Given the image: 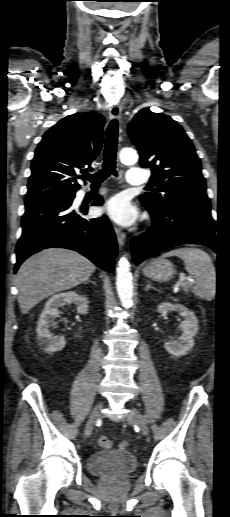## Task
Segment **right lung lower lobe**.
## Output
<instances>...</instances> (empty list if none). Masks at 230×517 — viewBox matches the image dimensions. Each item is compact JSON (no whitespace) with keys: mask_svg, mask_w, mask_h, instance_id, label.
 Wrapping results in <instances>:
<instances>
[{"mask_svg":"<svg viewBox=\"0 0 230 517\" xmlns=\"http://www.w3.org/2000/svg\"><path fill=\"white\" fill-rule=\"evenodd\" d=\"M98 196L93 205H101ZM69 202L41 201L25 205L23 233L17 248L14 272L34 253L51 247L75 250L106 271H112L117 255L116 236L106 216L86 219L83 210H72Z\"/></svg>","mask_w":230,"mask_h":517,"instance_id":"1","label":"right lung lower lobe"}]
</instances>
